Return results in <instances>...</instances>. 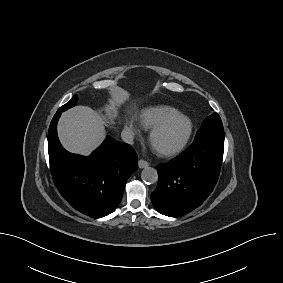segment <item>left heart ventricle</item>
<instances>
[{"mask_svg":"<svg viewBox=\"0 0 283 283\" xmlns=\"http://www.w3.org/2000/svg\"><path fill=\"white\" fill-rule=\"evenodd\" d=\"M187 122L183 119H175L159 131L152 144L156 150H165L175 146L185 135Z\"/></svg>","mask_w":283,"mask_h":283,"instance_id":"obj_1","label":"left heart ventricle"}]
</instances>
